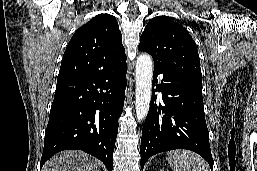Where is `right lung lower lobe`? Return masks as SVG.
Listing matches in <instances>:
<instances>
[{
  "label": "right lung lower lobe",
  "instance_id": "right-lung-lower-lobe-1",
  "mask_svg": "<svg viewBox=\"0 0 257 171\" xmlns=\"http://www.w3.org/2000/svg\"><path fill=\"white\" fill-rule=\"evenodd\" d=\"M126 84V62L82 78L57 81L40 166L59 151L80 149L112 171Z\"/></svg>",
  "mask_w": 257,
  "mask_h": 171
}]
</instances>
